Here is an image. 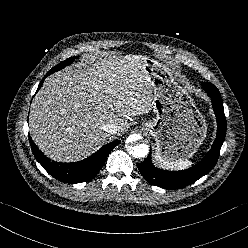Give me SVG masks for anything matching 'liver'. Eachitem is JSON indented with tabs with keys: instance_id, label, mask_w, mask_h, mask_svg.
<instances>
[{
	"instance_id": "liver-1",
	"label": "liver",
	"mask_w": 248,
	"mask_h": 248,
	"mask_svg": "<svg viewBox=\"0 0 248 248\" xmlns=\"http://www.w3.org/2000/svg\"><path fill=\"white\" fill-rule=\"evenodd\" d=\"M146 57L126 55L67 68L48 77L31 105L30 134L49 158L73 162L93 154L109 134L102 127L128 126V118L153 107Z\"/></svg>"
}]
</instances>
